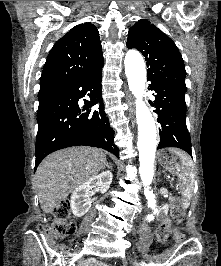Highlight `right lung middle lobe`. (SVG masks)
<instances>
[{"instance_id": "1", "label": "right lung middle lobe", "mask_w": 221, "mask_h": 266, "mask_svg": "<svg viewBox=\"0 0 221 266\" xmlns=\"http://www.w3.org/2000/svg\"><path fill=\"white\" fill-rule=\"evenodd\" d=\"M60 87L57 86H42L39 90L38 100L57 90Z\"/></svg>"}]
</instances>
